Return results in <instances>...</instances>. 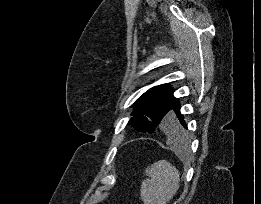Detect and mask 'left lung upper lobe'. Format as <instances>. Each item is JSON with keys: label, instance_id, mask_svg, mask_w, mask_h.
Returning <instances> with one entry per match:
<instances>
[{"label": "left lung upper lobe", "instance_id": "1", "mask_svg": "<svg viewBox=\"0 0 261 204\" xmlns=\"http://www.w3.org/2000/svg\"><path fill=\"white\" fill-rule=\"evenodd\" d=\"M175 101L170 86L167 84L155 86L136 100L129 124L138 131L152 133L157 126L162 128Z\"/></svg>", "mask_w": 261, "mask_h": 204}]
</instances>
